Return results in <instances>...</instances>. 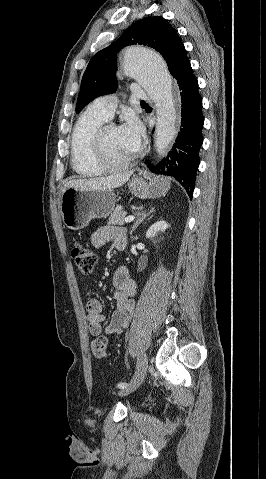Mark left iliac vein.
<instances>
[{
  "label": "left iliac vein",
  "instance_id": "left-iliac-vein-1",
  "mask_svg": "<svg viewBox=\"0 0 266 479\" xmlns=\"http://www.w3.org/2000/svg\"><path fill=\"white\" fill-rule=\"evenodd\" d=\"M147 367H148V359L146 354H142L137 363V368L134 376L132 377L130 383L126 388L121 389L118 392L119 396H125L130 394L131 392L135 391L140 384L143 382L145 375L147 373Z\"/></svg>",
  "mask_w": 266,
  "mask_h": 479
}]
</instances>
